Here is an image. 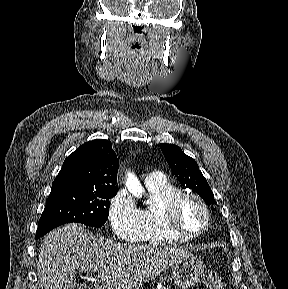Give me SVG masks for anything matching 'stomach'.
<instances>
[{
  "mask_svg": "<svg viewBox=\"0 0 288 289\" xmlns=\"http://www.w3.org/2000/svg\"><path fill=\"white\" fill-rule=\"evenodd\" d=\"M204 274L203 261L191 255L172 267V279L176 286L191 289L196 286Z\"/></svg>",
  "mask_w": 288,
  "mask_h": 289,
  "instance_id": "obj_1",
  "label": "stomach"
}]
</instances>
